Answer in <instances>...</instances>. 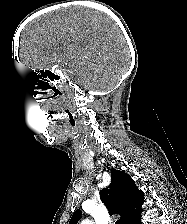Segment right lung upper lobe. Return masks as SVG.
Wrapping results in <instances>:
<instances>
[{
	"mask_svg": "<svg viewBox=\"0 0 187 224\" xmlns=\"http://www.w3.org/2000/svg\"><path fill=\"white\" fill-rule=\"evenodd\" d=\"M112 182L100 191V198L109 214H119L121 224H133L141 216V205L144 202V193L138 191L131 177L115 169L111 170ZM82 211L77 210L69 224H77Z\"/></svg>",
	"mask_w": 187,
	"mask_h": 224,
	"instance_id": "right-lung-upper-lobe-1",
	"label": "right lung upper lobe"
}]
</instances>
